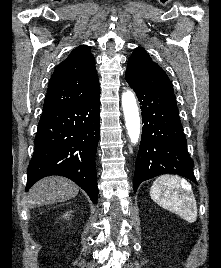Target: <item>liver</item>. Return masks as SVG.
<instances>
[{
  "mask_svg": "<svg viewBox=\"0 0 221 268\" xmlns=\"http://www.w3.org/2000/svg\"><path fill=\"white\" fill-rule=\"evenodd\" d=\"M79 192V187L71 180L52 176L44 178L33 185L27 197L29 208L50 205L74 198Z\"/></svg>",
  "mask_w": 221,
  "mask_h": 268,
  "instance_id": "obj_1",
  "label": "liver"
}]
</instances>
